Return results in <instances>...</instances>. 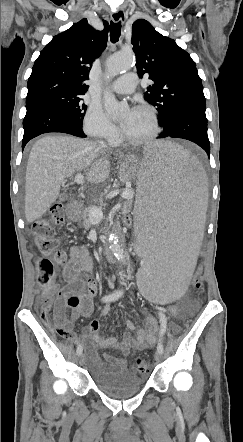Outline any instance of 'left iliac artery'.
<instances>
[{
    "mask_svg": "<svg viewBox=\"0 0 243 442\" xmlns=\"http://www.w3.org/2000/svg\"><path fill=\"white\" fill-rule=\"evenodd\" d=\"M158 315L160 320V333H159L160 339L157 346V351L162 354L164 349L161 340L167 328V318L162 312H159Z\"/></svg>",
    "mask_w": 243,
    "mask_h": 442,
    "instance_id": "left-iliac-artery-1",
    "label": "left iliac artery"
}]
</instances>
